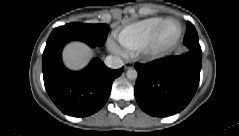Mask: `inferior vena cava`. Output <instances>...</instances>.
<instances>
[{"label": "inferior vena cava", "mask_w": 239, "mask_h": 136, "mask_svg": "<svg viewBox=\"0 0 239 136\" xmlns=\"http://www.w3.org/2000/svg\"><path fill=\"white\" fill-rule=\"evenodd\" d=\"M105 64L112 69H118L123 66V60L119 57L111 56L105 60Z\"/></svg>", "instance_id": "inferior-vena-cava-1"}]
</instances>
